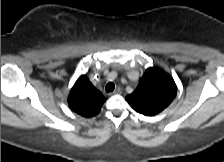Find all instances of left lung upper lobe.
Returning <instances> with one entry per match:
<instances>
[{"mask_svg":"<svg viewBox=\"0 0 224 162\" xmlns=\"http://www.w3.org/2000/svg\"><path fill=\"white\" fill-rule=\"evenodd\" d=\"M176 92V84L168 74L160 69L148 68L126 100L135 111L154 116L173 101Z\"/></svg>","mask_w":224,"mask_h":162,"instance_id":"left-lung-upper-lobe-1","label":"left lung upper lobe"}]
</instances>
